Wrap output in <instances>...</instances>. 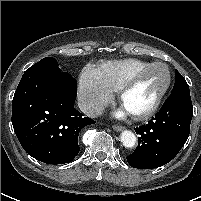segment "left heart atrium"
<instances>
[{
    "label": "left heart atrium",
    "instance_id": "left-heart-atrium-1",
    "mask_svg": "<svg viewBox=\"0 0 201 201\" xmlns=\"http://www.w3.org/2000/svg\"><path fill=\"white\" fill-rule=\"evenodd\" d=\"M127 114H128V112L123 108V109L119 110L116 115L118 117H124Z\"/></svg>",
    "mask_w": 201,
    "mask_h": 201
}]
</instances>
